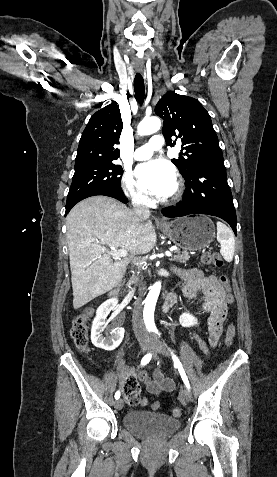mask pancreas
<instances>
[{
    "label": "pancreas",
    "instance_id": "obj_1",
    "mask_svg": "<svg viewBox=\"0 0 277 477\" xmlns=\"http://www.w3.org/2000/svg\"><path fill=\"white\" fill-rule=\"evenodd\" d=\"M175 253H176L175 256L172 258V260H174V261H177V262H180V263H184V264H185V263L189 260V258H190L189 254L186 253V252H183V253L181 254L179 250H176ZM138 280H139V278H138V277H135V278L133 279L132 283L136 284V283L138 282Z\"/></svg>",
    "mask_w": 277,
    "mask_h": 477
}]
</instances>
